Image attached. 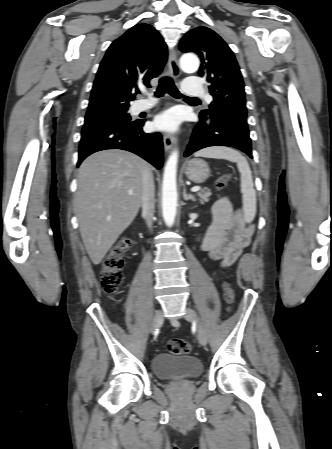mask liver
I'll return each instance as SVG.
<instances>
[{"label": "liver", "instance_id": "obj_1", "mask_svg": "<svg viewBox=\"0 0 332 449\" xmlns=\"http://www.w3.org/2000/svg\"><path fill=\"white\" fill-rule=\"evenodd\" d=\"M140 157L123 150H104L87 157L78 171L75 211L83 243L93 264H99L142 203ZM132 191V195L128 192Z\"/></svg>", "mask_w": 332, "mask_h": 449}]
</instances>
